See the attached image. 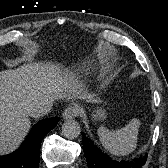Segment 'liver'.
<instances>
[{
  "instance_id": "1",
  "label": "liver",
  "mask_w": 168,
  "mask_h": 168,
  "mask_svg": "<svg viewBox=\"0 0 168 168\" xmlns=\"http://www.w3.org/2000/svg\"><path fill=\"white\" fill-rule=\"evenodd\" d=\"M80 98L95 102L55 64H24L0 72V155L14 151L30 129V110L46 100Z\"/></svg>"
}]
</instances>
